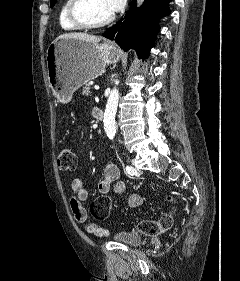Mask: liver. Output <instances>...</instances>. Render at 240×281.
<instances>
[{
	"mask_svg": "<svg viewBox=\"0 0 240 281\" xmlns=\"http://www.w3.org/2000/svg\"><path fill=\"white\" fill-rule=\"evenodd\" d=\"M62 38H76L91 43H98L101 40V38L97 36L89 35L86 33H66L57 37V39H62Z\"/></svg>",
	"mask_w": 240,
	"mask_h": 281,
	"instance_id": "1",
	"label": "liver"
}]
</instances>
